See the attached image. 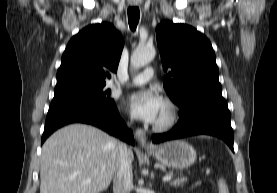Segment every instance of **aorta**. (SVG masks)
<instances>
[{
    "label": "aorta",
    "mask_w": 277,
    "mask_h": 193,
    "mask_svg": "<svg viewBox=\"0 0 277 193\" xmlns=\"http://www.w3.org/2000/svg\"><path fill=\"white\" fill-rule=\"evenodd\" d=\"M156 55L153 47H138L131 56V66L135 69L150 63Z\"/></svg>",
    "instance_id": "obj_1"
}]
</instances>
